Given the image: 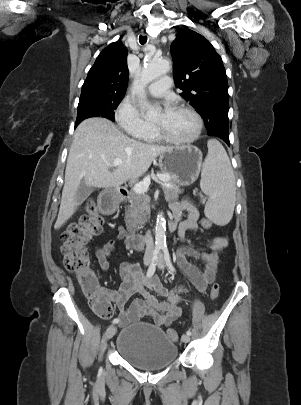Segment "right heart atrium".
Segmentation results:
<instances>
[{"label":"right heart atrium","mask_w":301,"mask_h":405,"mask_svg":"<svg viewBox=\"0 0 301 405\" xmlns=\"http://www.w3.org/2000/svg\"><path fill=\"white\" fill-rule=\"evenodd\" d=\"M115 119L128 134L136 136L146 131L151 125L145 121L136 105L129 99H123L115 111Z\"/></svg>","instance_id":"1"}]
</instances>
